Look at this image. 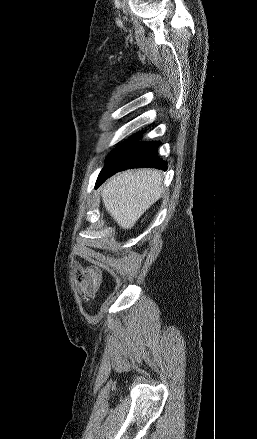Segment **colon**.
Instances as JSON below:
<instances>
[{
    "label": "colon",
    "instance_id": "1",
    "mask_svg": "<svg viewBox=\"0 0 257 439\" xmlns=\"http://www.w3.org/2000/svg\"><path fill=\"white\" fill-rule=\"evenodd\" d=\"M75 279L79 288L89 297L95 296L102 284V275L94 268L77 270Z\"/></svg>",
    "mask_w": 257,
    "mask_h": 439
}]
</instances>
